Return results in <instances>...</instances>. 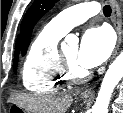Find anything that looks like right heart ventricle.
<instances>
[{
  "mask_svg": "<svg viewBox=\"0 0 123 113\" xmlns=\"http://www.w3.org/2000/svg\"><path fill=\"white\" fill-rule=\"evenodd\" d=\"M64 33L46 25L34 37L22 67L24 87L34 93H52L67 79L61 69L58 43Z\"/></svg>",
  "mask_w": 123,
  "mask_h": 113,
  "instance_id": "right-heart-ventricle-1",
  "label": "right heart ventricle"
}]
</instances>
